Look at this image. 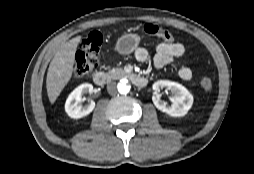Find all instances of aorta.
<instances>
[{"label":"aorta","instance_id":"aorta-1","mask_svg":"<svg viewBox=\"0 0 254 174\" xmlns=\"http://www.w3.org/2000/svg\"><path fill=\"white\" fill-rule=\"evenodd\" d=\"M117 89L120 94H127L129 93L131 86L127 79H121L117 85Z\"/></svg>","mask_w":254,"mask_h":174}]
</instances>
